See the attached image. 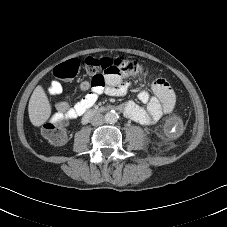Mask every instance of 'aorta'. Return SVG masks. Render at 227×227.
I'll return each instance as SVG.
<instances>
[{"label": "aorta", "mask_w": 227, "mask_h": 227, "mask_svg": "<svg viewBox=\"0 0 227 227\" xmlns=\"http://www.w3.org/2000/svg\"><path fill=\"white\" fill-rule=\"evenodd\" d=\"M119 116L118 113L115 112L114 110H111L105 114V121L107 123H115L117 122Z\"/></svg>", "instance_id": "obj_1"}]
</instances>
